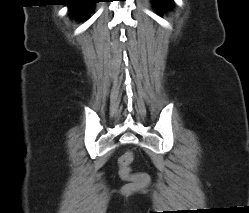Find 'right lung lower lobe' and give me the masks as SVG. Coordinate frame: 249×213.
<instances>
[{
  "label": "right lung lower lobe",
  "instance_id": "98d812e1",
  "mask_svg": "<svg viewBox=\"0 0 249 213\" xmlns=\"http://www.w3.org/2000/svg\"><path fill=\"white\" fill-rule=\"evenodd\" d=\"M94 2L97 0H68L65 4L70 6V10L76 16L85 17L86 13L91 11Z\"/></svg>",
  "mask_w": 249,
  "mask_h": 213
}]
</instances>
